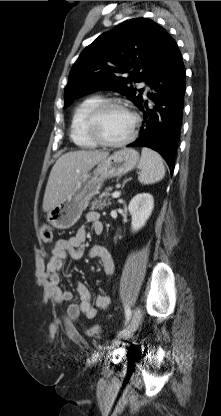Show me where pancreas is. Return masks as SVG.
I'll list each match as a JSON object with an SVG mask.
<instances>
[{
    "instance_id": "cf45deb5",
    "label": "pancreas",
    "mask_w": 221,
    "mask_h": 416,
    "mask_svg": "<svg viewBox=\"0 0 221 416\" xmlns=\"http://www.w3.org/2000/svg\"><path fill=\"white\" fill-rule=\"evenodd\" d=\"M109 196H110V193L108 191L103 192L101 195H99L98 198L92 201L91 209L102 210L103 207L111 205L110 199L108 198Z\"/></svg>"
}]
</instances>
